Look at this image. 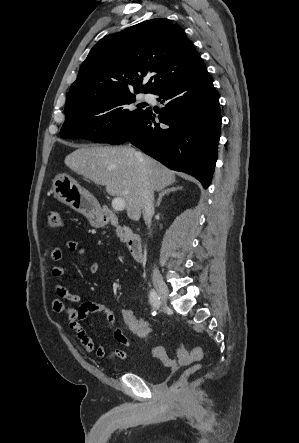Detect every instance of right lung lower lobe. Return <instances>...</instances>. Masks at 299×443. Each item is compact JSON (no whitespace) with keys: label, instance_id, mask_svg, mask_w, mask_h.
I'll return each instance as SVG.
<instances>
[{"label":"right lung lower lobe","instance_id":"obj_1","mask_svg":"<svg viewBox=\"0 0 299 443\" xmlns=\"http://www.w3.org/2000/svg\"><path fill=\"white\" fill-rule=\"evenodd\" d=\"M153 94L165 104L159 123L149 108L107 143L128 141L169 168L195 176L207 188L217 160L221 114L206 67Z\"/></svg>","mask_w":299,"mask_h":443}]
</instances>
